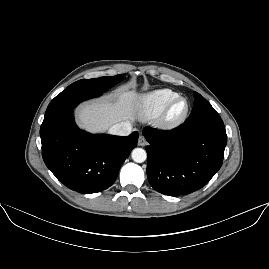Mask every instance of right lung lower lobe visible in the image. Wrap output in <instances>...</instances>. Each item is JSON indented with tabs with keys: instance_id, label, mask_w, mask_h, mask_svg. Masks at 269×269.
<instances>
[{
	"instance_id": "98d812e1",
	"label": "right lung lower lobe",
	"mask_w": 269,
	"mask_h": 269,
	"mask_svg": "<svg viewBox=\"0 0 269 269\" xmlns=\"http://www.w3.org/2000/svg\"><path fill=\"white\" fill-rule=\"evenodd\" d=\"M101 94L65 89L50 102L40 128L46 166L61 183L80 193H97L109 188L137 146V131L127 137L93 135L76 126L74 107Z\"/></svg>"
}]
</instances>
